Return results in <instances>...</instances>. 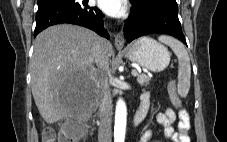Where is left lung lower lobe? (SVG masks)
<instances>
[{"label":"left lung lower lobe","mask_w":227,"mask_h":142,"mask_svg":"<svg viewBox=\"0 0 227 142\" xmlns=\"http://www.w3.org/2000/svg\"><path fill=\"white\" fill-rule=\"evenodd\" d=\"M124 33L128 42L143 35L161 33L174 36L186 44L178 8L160 2H150L143 7L133 6Z\"/></svg>","instance_id":"1"}]
</instances>
